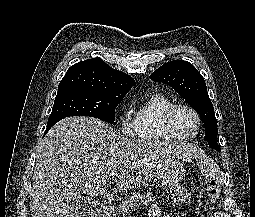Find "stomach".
<instances>
[{
    "mask_svg": "<svg viewBox=\"0 0 255 217\" xmlns=\"http://www.w3.org/2000/svg\"><path fill=\"white\" fill-rule=\"evenodd\" d=\"M183 160L179 157L170 158L159 170L158 178L167 187L178 183L184 175Z\"/></svg>",
    "mask_w": 255,
    "mask_h": 217,
    "instance_id": "0dacf381",
    "label": "stomach"
}]
</instances>
